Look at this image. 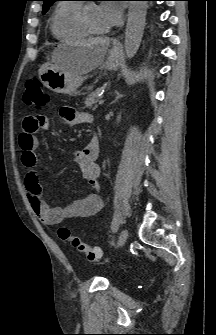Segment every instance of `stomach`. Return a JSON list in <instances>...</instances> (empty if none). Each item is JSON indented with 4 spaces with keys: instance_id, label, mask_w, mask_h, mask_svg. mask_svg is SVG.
I'll return each instance as SVG.
<instances>
[{
    "instance_id": "1",
    "label": "stomach",
    "mask_w": 216,
    "mask_h": 335,
    "mask_svg": "<svg viewBox=\"0 0 216 335\" xmlns=\"http://www.w3.org/2000/svg\"><path fill=\"white\" fill-rule=\"evenodd\" d=\"M78 48L58 46L53 52V61L44 65L39 70V78L49 90L68 95H77L78 88L87 76L76 75L63 67L67 61L77 52ZM122 54L118 47L108 52L107 59L101 68L116 71L121 63Z\"/></svg>"
}]
</instances>
